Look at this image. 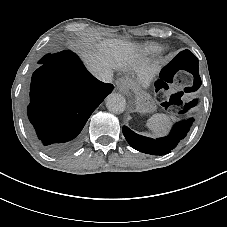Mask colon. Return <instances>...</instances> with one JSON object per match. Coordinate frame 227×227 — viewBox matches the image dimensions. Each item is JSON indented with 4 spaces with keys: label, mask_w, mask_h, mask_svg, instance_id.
<instances>
[{
    "label": "colon",
    "mask_w": 227,
    "mask_h": 227,
    "mask_svg": "<svg viewBox=\"0 0 227 227\" xmlns=\"http://www.w3.org/2000/svg\"><path fill=\"white\" fill-rule=\"evenodd\" d=\"M198 61L189 51H183L162 69L156 82L160 98H167V105L181 99L184 93L192 92L198 87ZM194 100L189 105H194Z\"/></svg>",
    "instance_id": "obj_1"
}]
</instances>
